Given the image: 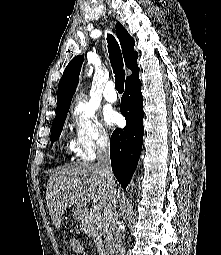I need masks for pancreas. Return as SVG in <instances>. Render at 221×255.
Segmentation results:
<instances>
[{
    "instance_id": "obj_1",
    "label": "pancreas",
    "mask_w": 221,
    "mask_h": 255,
    "mask_svg": "<svg viewBox=\"0 0 221 255\" xmlns=\"http://www.w3.org/2000/svg\"><path fill=\"white\" fill-rule=\"evenodd\" d=\"M81 229L89 236L94 238L98 247L102 245L103 222L100 212L89 210L85 212L80 224Z\"/></svg>"
}]
</instances>
